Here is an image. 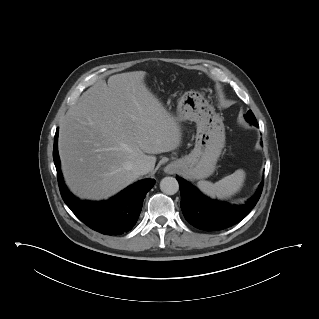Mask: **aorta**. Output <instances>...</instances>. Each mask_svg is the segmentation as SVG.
<instances>
[{
	"label": "aorta",
	"instance_id": "obj_1",
	"mask_svg": "<svg viewBox=\"0 0 319 319\" xmlns=\"http://www.w3.org/2000/svg\"><path fill=\"white\" fill-rule=\"evenodd\" d=\"M160 189L164 194L174 195L179 190L178 181L174 177H165L160 182Z\"/></svg>",
	"mask_w": 319,
	"mask_h": 319
}]
</instances>
